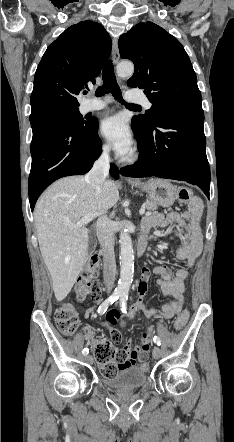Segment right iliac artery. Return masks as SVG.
Returning a JSON list of instances; mask_svg holds the SVG:
<instances>
[{
    "label": "right iliac artery",
    "mask_w": 234,
    "mask_h": 442,
    "mask_svg": "<svg viewBox=\"0 0 234 442\" xmlns=\"http://www.w3.org/2000/svg\"><path fill=\"white\" fill-rule=\"evenodd\" d=\"M120 293L119 292H114L109 298H107L98 308V313L99 314H104L106 312V310L108 309V307L113 304L116 300H118V298L120 297ZM85 356L89 353V349L88 348H84L83 352H82Z\"/></svg>",
    "instance_id": "obj_1"
}]
</instances>
